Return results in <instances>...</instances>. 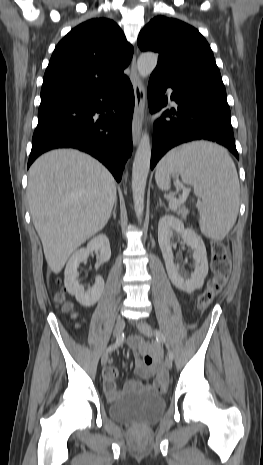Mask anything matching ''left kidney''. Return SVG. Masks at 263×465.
<instances>
[{"instance_id": "5707ae66", "label": "left kidney", "mask_w": 263, "mask_h": 465, "mask_svg": "<svg viewBox=\"0 0 263 465\" xmlns=\"http://www.w3.org/2000/svg\"><path fill=\"white\" fill-rule=\"evenodd\" d=\"M174 233L180 235L184 242L194 250L195 271L191 274L190 279L185 278L180 273L179 266L174 263L171 241ZM158 242L171 282L180 290L190 294L200 289L208 274L207 253L202 238L193 229H186L178 218L165 215L160 218L158 223Z\"/></svg>"}]
</instances>
